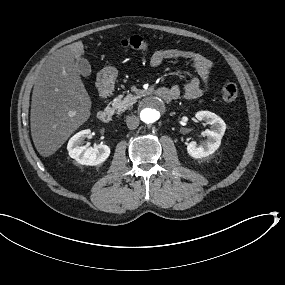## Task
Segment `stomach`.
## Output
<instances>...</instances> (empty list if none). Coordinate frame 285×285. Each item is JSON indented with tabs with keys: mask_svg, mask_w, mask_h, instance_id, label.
<instances>
[{
	"mask_svg": "<svg viewBox=\"0 0 285 285\" xmlns=\"http://www.w3.org/2000/svg\"><path fill=\"white\" fill-rule=\"evenodd\" d=\"M117 72L114 69H109L108 71L104 72L103 75L98 76V80L104 85L107 86V83H113L116 79Z\"/></svg>",
	"mask_w": 285,
	"mask_h": 285,
	"instance_id": "0dacf381",
	"label": "stomach"
}]
</instances>
